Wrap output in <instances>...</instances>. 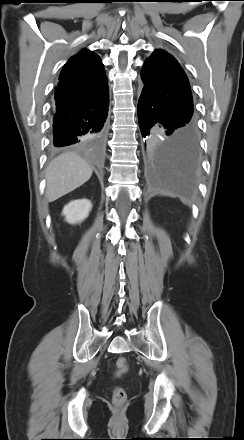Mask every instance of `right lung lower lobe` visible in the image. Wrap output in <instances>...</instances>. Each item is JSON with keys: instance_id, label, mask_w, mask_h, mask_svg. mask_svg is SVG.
<instances>
[{"instance_id": "right-lung-lower-lobe-1", "label": "right lung lower lobe", "mask_w": 244, "mask_h": 440, "mask_svg": "<svg viewBox=\"0 0 244 440\" xmlns=\"http://www.w3.org/2000/svg\"><path fill=\"white\" fill-rule=\"evenodd\" d=\"M109 94L83 106L67 110L54 109L53 145L55 147L83 143L94 137H103L106 129Z\"/></svg>"}]
</instances>
